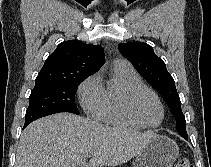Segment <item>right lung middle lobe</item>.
Listing matches in <instances>:
<instances>
[{
	"mask_svg": "<svg viewBox=\"0 0 211 167\" xmlns=\"http://www.w3.org/2000/svg\"><path fill=\"white\" fill-rule=\"evenodd\" d=\"M85 78L68 82L38 83L30 94V103L25 115V123L58 112L79 114L74 97L79 84Z\"/></svg>",
	"mask_w": 211,
	"mask_h": 167,
	"instance_id": "right-lung-middle-lobe-1",
	"label": "right lung middle lobe"
}]
</instances>
